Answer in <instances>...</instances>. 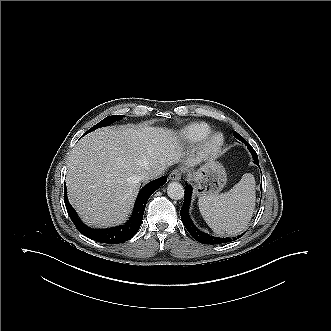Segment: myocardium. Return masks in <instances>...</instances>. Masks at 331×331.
<instances>
[{
    "label": "myocardium",
    "instance_id": "myocardium-1",
    "mask_svg": "<svg viewBox=\"0 0 331 331\" xmlns=\"http://www.w3.org/2000/svg\"><path fill=\"white\" fill-rule=\"evenodd\" d=\"M224 145V136L219 132L208 135L200 146V153L205 156L217 154Z\"/></svg>",
    "mask_w": 331,
    "mask_h": 331
}]
</instances>
